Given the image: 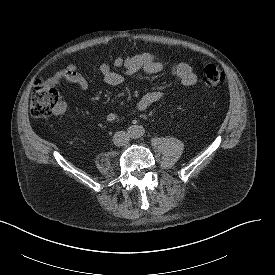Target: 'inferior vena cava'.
I'll list each match as a JSON object with an SVG mask.
<instances>
[{"instance_id": "obj_1", "label": "inferior vena cava", "mask_w": 275, "mask_h": 275, "mask_svg": "<svg viewBox=\"0 0 275 275\" xmlns=\"http://www.w3.org/2000/svg\"><path fill=\"white\" fill-rule=\"evenodd\" d=\"M113 142L116 146H123L129 142V136L124 131H118L113 136Z\"/></svg>"}]
</instances>
